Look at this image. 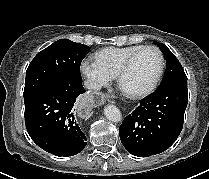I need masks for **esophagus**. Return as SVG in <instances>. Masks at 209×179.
I'll list each match as a JSON object with an SVG mask.
<instances>
[{
	"label": "esophagus",
	"mask_w": 209,
	"mask_h": 179,
	"mask_svg": "<svg viewBox=\"0 0 209 179\" xmlns=\"http://www.w3.org/2000/svg\"><path fill=\"white\" fill-rule=\"evenodd\" d=\"M105 101H109V98L104 97L102 93H87L75 103V114L82 119L90 118L94 114L95 107L102 106Z\"/></svg>",
	"instance_id": "obj_1"
}]
</instances>
